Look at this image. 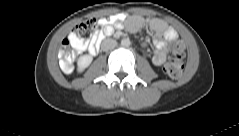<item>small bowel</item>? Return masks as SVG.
Returning a JSON list of instances; mask_svg holds the SVG:
<instances>
[{
    "mask_svg": "<svg viewBox=\"0 0 239 136\" xmlns=\"http://www.w3.org/2000/svg\"><path fill=\"white\" fill-rule=\"evenodd\" d=\"M99 25L102 27V30L96 32L91 40L81 42L74 40L78 51L90 50L100 35L112 34L115 28L120 29L126 26L129 31L137 32L144 26H148L155 33L153 40L155 49L153 51L152 61L155 65L161 66L165 63L168 56V42L178 39L176 30L160 18L149 19L137 15L127 17L125 14L119 13L110 18L100 19Z\"/></svg>",
    "mask_w": 239,
    "mask_h": 136,
    "instance_id": "small-bowel-1",
    "label": "small bowel"
}]
</instances>
